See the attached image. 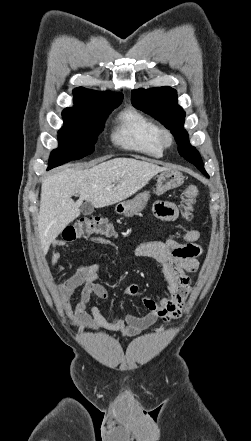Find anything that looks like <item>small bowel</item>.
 <instances>
[{
    "mask_svg": "<svg viewBox=\"0 0 251 441\" xmlns=\"http://www.w3.org/2000/svg\"><path fill=\"white\" fill-rule=\"evenodd\" d=\"M154 214L157 218L166 221H174L179 216L176 205L166 201L155 203ZM200 236L199 230L190 229L180 237H171L166 241L144 242L135 248V256L151 258L161 264L167 283L166 296L159 300L142 299L143 306L147 310V313L142 316L127 314L123 317L114 316L107 319L95 304H90L92 296L100 299L108 298L107 288L98 282L102 262L80 265L73 275L56 285L71 324L85 331L106 329L120 332L125 336H135L154 325L158 319L167 322L179 317L191 291L192 281L188 274L195 273L199 269L198 257L201 254V247L197 241ZM92 241L108 244V241L103 238H94ZM65 245L66 242L62 240L55 243V247ZM109 262L116 264L117 256L110 258ZM50 266L56 273L64 270L59 252H53ZM77 290H80V296L72 305L70 299ZM124 294L132 297L138 296V284L128 285L124 289Z\"/></svg>",
    "mask_w": 251,
    "mask_h": 441,
    "instance_id": "obj_1",
    "label": "small bowel"
}]
</instances>
